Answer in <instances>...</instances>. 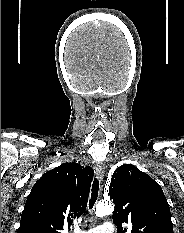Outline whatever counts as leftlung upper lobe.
Listing matches in <instances>:
<instances>
[{
	"instance_id": "5c2ea615",
	"label": "left lung upper lobe",
	"mask_w": 184,
	"mask_h": 233,
	"mask_svg": "<svg viewBox=\"0 0 184 233\" xmlns=\"http://www.w3.org/2000/svg\"><path fill=\"white\" fill-rule=\"evenodd\" d=\"M108 195L115 204L112 218L117 233H174L161 186L134 165L124 164L114 171Z\"/></svg>"
}]
</instances>
